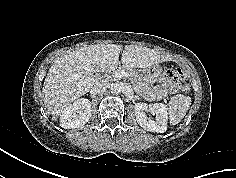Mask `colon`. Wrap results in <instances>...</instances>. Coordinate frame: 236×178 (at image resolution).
Wrapping results in <instances>:
<instances>
[{
  "label": "colon",
  "mask_w": 236,
  "mask_h": 178,
  "mask_svg": "<svg viewBox=\"0 0 236 178\" xmlns=\"http://www.w3.org/2000/svg\"><path fill=\"white\" fill-rule=\"evenodd\" d=\"M178 73H180V70L178 68H169L166 71V74L168 76H173V75H176ZM188 90H189V86H188V84H185L184 85V91L187 92Z\"/></svg>",
  "instance_id": "obj_1"
}]
</instances>
